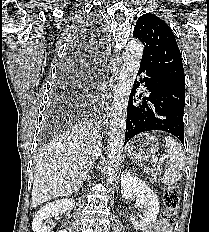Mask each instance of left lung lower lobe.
<instances>
[{
	"label": "left lung lower lobe",
	"mask_w": 209,
	"mask_h": 232,
	"mask_svg": "<svg viewBox=\"0 0 209 232\" xmlns=\"http://www.w3.org/2000/svg\"><path fill=\"white\" fill-rule=\"evenodd\" d=\"M144 77L135 80L129 96L125 144L135 135L160 130L177 137L184 145L183 114L185 105V84L160 76L147 64H140L137 75ZM149 91L142 103H135L136 89L139 86ZM139 98L142 94L137 95Z\"/></svg>",
	"instance_id": "left-lung-lower-lobe-1"
}]
</instances>
